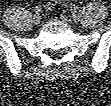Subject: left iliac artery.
<instances>
[{"label": "left iliac artery", "mask_w": 111, "mask_h": 106, "mask_svg": "<svg viewBox=\"0 0 111 106\" xmlns=\"http://www.w3.org/2000/svg\"><path fill=\"white\" fill-rule=\"evenodd\" d=\"M79 7L78 6H74L73 11H78Z\"/></svg>", "instance_id": "left-iliac-artery-1"}]
</instances>
